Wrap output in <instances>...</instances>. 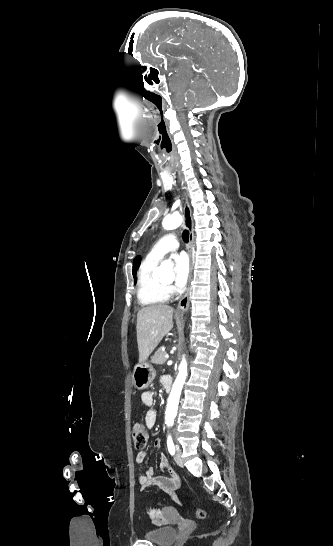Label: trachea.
Returning <instances> with one entry per match:
<instances>
[{"label": "trachea", "instance_id": "1", "mask_svg": "<svg viewBox=\"0 0 333 546\" xmlns=\"http://www.w3.org/2000/svg\"><path fill=\"white\" fill-rule=\"evenodd\" d=\"M182 237H183L184 242L188 243V241H189V231L184 230L183 233H182Z\"/></svg>", "mask_w": 333, "mask_h": 546}]
</instances>
